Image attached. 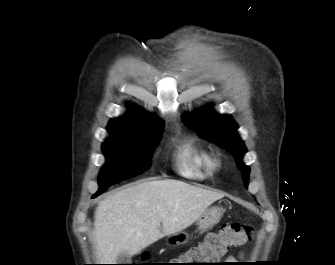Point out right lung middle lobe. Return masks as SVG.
<instances>
[{
  "label": "right lung middle lobe",
  "mask_w": 335,
  "mask_h": 265,
  "mask_svg": "<svg viewBox=\"0 0 335 265\" xmlns=\"http://www.w3.org/2000/svg\"><path fill=\"white\" fill-rule=\"evenodd\" d=\"M160 128L122 129L110 132L103 143L106 164L102 167L98 183L97 197L118 181L141 174L150 167L154 147L162 136Z\"/></svg>",
  "instance_id": "right-lung-middle-lobe-1"
}]
</instances>
